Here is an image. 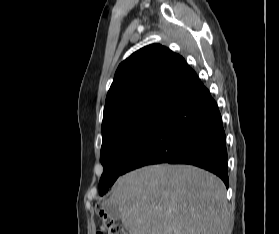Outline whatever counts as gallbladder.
Instances as JSON below:
<instances>
[{
	"label": "gallbladder",
	"instance_id": "1",
	"mask_svg": "<svg viewBox=\"0 0 279 234\" xmlns=\"http://www.w3.org/2000/svg\"><path fill=\"white\" fill-rule=\"evenodd\" d=\"M104 209L109 218L113 220L121 219V212L117 205H106Z\"/></svg>",
	"mask_w": 279,
	"mask_h": 234
}]
</instances>
